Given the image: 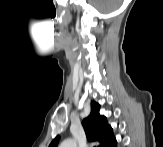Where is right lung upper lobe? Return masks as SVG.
<instances>
[{
	"label": "right lung upper lobe",
	"instance_id": "cb5924a9",
	"mask_svg": "<svg viewBox=\"0 0 163 147\" xmlns=\"http://www.w3.org/2000/svg\"><path fill=\"white\" fill-rule=\"evenodd\" d=\"M100 105L95 101L91 102V113L82 121L89 141H98L100 147H107L113 140V130L105 116L99 114ZM60 136H56L50 147H56Z\"/></svg>",
	"mask_w": 163,
	"mask_h": 147
}]
</instances>
